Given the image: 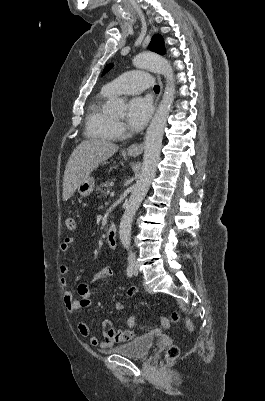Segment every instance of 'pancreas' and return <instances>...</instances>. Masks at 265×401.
I'll return each mask as SVG.
<instances>
[{
  "label": "pancreas",
  "instance_id": "cf45deb5",
  "mask_svg": "<svg viewBox=\"0 0 265 401\" xmlns=\"http://www.w3.org/2000/svg\"><path fill=\"white\" fill-rule=\"evenodd\" d=\"M111 184H113L111 180H105V182H101V184H98V186H96L98 194L99 192H102V194H109L108 190H111ZM104 186H106V188H104Z\"/></svg>",
  "mask_w": 265,
  "mask_h": 401
}]
</instances>
